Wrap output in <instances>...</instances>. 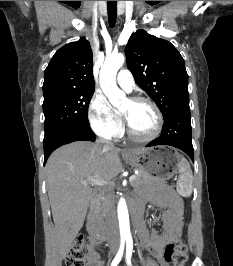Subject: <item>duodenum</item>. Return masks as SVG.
Segmentation results:
<instances>
[{
	"label": "duodenum",
	"mask_w": 233,
	"mask_h": 266,
	"mask_svg": "<svg viewBox=\"0 0 233 266\" xmlns=\"http://www.w3.org/2000/svg\"><path fill=\"white\" fill-rule=\"evenodd\" d=\"M135 222L141 218V209L138 205L132 207ZM88 231L90 235L98 241H106L108 239V231L100 221L99 213V193L95 192L90 205V213L88 218Z\"/></svg>",
	"instance_id": "1"
}]
</instances>
